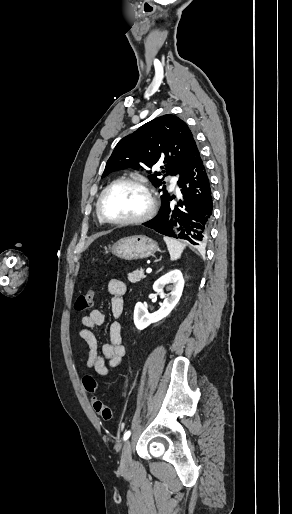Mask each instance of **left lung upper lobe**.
<instances>
[{"label":"left lung upper lobe","mask_w":292,"mask_h":514,"mask_svg":"<svg viewBox=\"0 0 292 514\" xmlns=\"http://www.w3.org/2000/svg\"><path fill=\"white\" fill-rule=\"evenodd\" d=\"M193 142V134L183 120L171 114L160 116L118 142L106 163L102 178L113 171L127 168L150 174L149 169L159 165L164 169V176L179 177L188 162ZM160 175L155 172L148 177L155 187L163 186L162 198L168 192L164 178H157Z\"/></svg>","instance_id":"5c2ea615"}]
</instances>
